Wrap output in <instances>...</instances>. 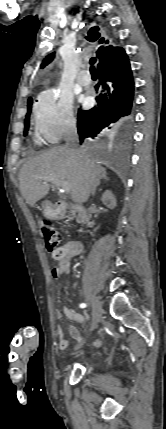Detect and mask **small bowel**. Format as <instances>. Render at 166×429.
Here are the masks:
<instances>
[{
	"label": "small bowel",
	"mask_w": 166,
	"mask_h": 429,
	"mask_svg": "<svg viewBox=\"0 0 166 429\" xmlns=\"http://www.w3.org/2000/svg\"><path fill=\"white\" fill-rule=\"evenodd\" d=\"M83 252V244L78 241H69L64 245L58 247L55 251L51 253V258L54 261H57L58 264L52 269V276L57 279L62 276L68 275L71 272V262L72 259L77 257ZM66 316L69 320L83 324L85 323V318L83 315L77 313L73 309L69 307H64L63 310L56 311V317L61 319L63 316ZM68 333L70 336L76 341L80 342L82 340L81 332L74 326L68 327ZM58 339H59V347L62 350L68 348L69 343L63 334L60 327H58ZM103 341L101 339L95 340L93 343L94 347H100Z\"/></svg>",
	"instance_id": "1"
}]
</instances>
